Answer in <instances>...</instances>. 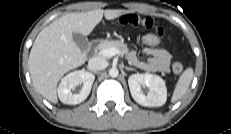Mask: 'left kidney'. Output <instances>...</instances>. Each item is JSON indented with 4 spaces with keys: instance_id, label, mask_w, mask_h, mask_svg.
Segmentation results:
<instances>
[{
    "instance_id": "left-kidney-1",
    "label": "left kidney",
    "mask_w": 231,
    "mask_h": 134,
    "mask_svg": "<svg viewBox=\"0 0 231 134\" xmlns=\"http://www.w3.org/2000/svg\"><path fill=\"white\" fill-rule=\"evenodd\" d=\"M130 93L133 99L142 106L159 107L167 100V89L164 80L154 74H133L128 79ZM149 89L144 94L142 88Z\"/></svg>"
}]
</instances>
